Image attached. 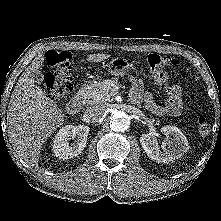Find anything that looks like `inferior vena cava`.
<instances>
[{
	"instance_id": "1",
	"label": "inferior vena cava",
	"mask_w": 221,
	"mask_h": 221,
	"mask_svg": "<svg viewBox=\"0 0 221 221\" xmlns=\"http://www.w3.org/2000/svg\"><path fill=\"white\" fill-rule=\"evenodd\" d=\"M106 112L107 107L105 104H95L86 109L84 119L87 122H98L103 118Z\"/></svg>"
}]
</instances>
